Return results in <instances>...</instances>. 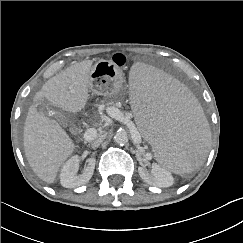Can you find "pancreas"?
Listing matches in <instances>:
<instances>
[{"instance_id":"pancreas-1","label":"pancreas","mask_w":243,"mask_h":243,"mask_svg":"<svg viewBox=\"0 0 243 243\" xmlns=\"http://www.w3.org/2000/svg\"><path fill=\"white\" fill-rule=\"evenodd\" d=\"M109 105H113V102L108 103V107H107V112H108V113L110 112V110H111L112 108H115L114 106H109ZM116 109H117V108H116Z\"/></svg>"}]
</instances>
